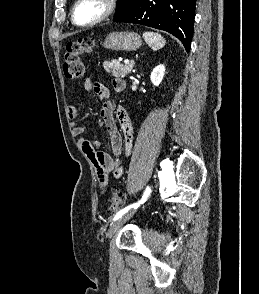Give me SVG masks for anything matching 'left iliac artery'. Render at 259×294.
Instances as JSON below:
<instances>
[{"label":"left iliac artery","instance_id":"1","mask_svg":"<svg viewBox=\"0 0 259 294\" xmlns=\"http://www.w3.org/2000/svg\"><path fill=\"white\" fill-rule=\"evenodd\" d=\"M150 193H151V188L149 186H147L146 189H145V191H144V194H143L142 198L138 202L133 203V204H130V205L124 207L123 209H121L114 216L113 221H115V220L119 219L120 217H122L130 209H132V208H138L140 206V204H143L148 199V197L150 196Z\"/></svg>","mask_w":259,"mask_h":294}]
</instances>
